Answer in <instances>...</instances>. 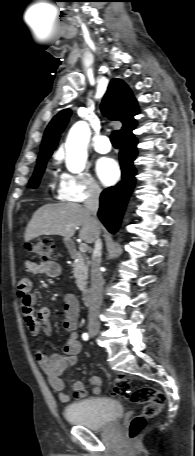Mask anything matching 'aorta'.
Returning <instances> with one entry per match:
<instances>
[{"instance_id": "762f6f07", "label": "aorta", "mask_w": 195, "mask_h": 456, "mask_svg": "<svg viewBox=\"0 0 195 456\" xmlns=\"http://www.w3.org/2000/svg\"><path fill=\"white\" fill-rule=\"evenodd\" d=\"M90 128L85 121L75 123L66 140V167L71 173L84 170L87 161V145L90 139Z\"/></svg>"}]
</instances>
